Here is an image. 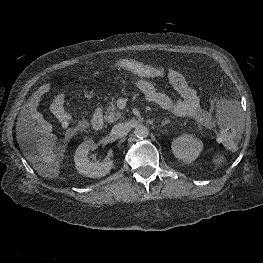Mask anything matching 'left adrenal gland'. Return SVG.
Masks as SVG:
<instances>
[{
  "label": "left adrenal gland",
  "instance_id": "obj_1",
  "mask_svg": "<svg viewBox=\"0 0 263 263\" xmlns=\"http://www.w3.org/2000/svg\"><path fill=\"white\" fill-rule=\"evenodd\" d=\"M168 123H170L169 120H164V121L161 122V126H165V125L168 124Z\"/></svg>",
  "mask_w": 263,
  "mask_h": 263
}]
</instances>
